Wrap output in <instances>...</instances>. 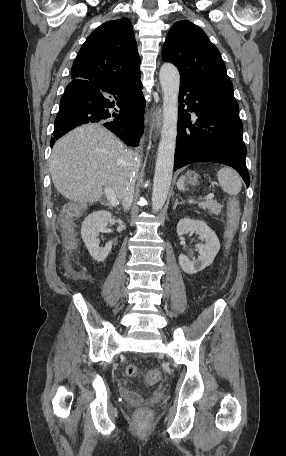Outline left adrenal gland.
Listing matches in <instances>:
<instances>
[{
	"label": "left adrenal gland",
	"mask_w": 286,
	"mask_h": 456,
	"mask_svg": "<svg viewBox=\"0 0 286 456\" xmlns=\"http://www.w3.org/2000/svg\"><path fill=\"white\" fill-rule=\"evenodd\" d=\"M183 203H184V201L179 202L178 199H176L175 204H174V206H173V209H176L177 205L183 204Z\"/></svg>",
	"instance_id": "a2214340"
}]
</instances>
